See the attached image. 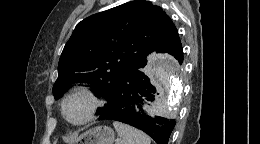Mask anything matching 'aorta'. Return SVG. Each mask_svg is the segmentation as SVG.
Instances as JSON below:
<instances>
[{"mask_svg": "<svg viewBox=\"0 0 260 144\" xmlns=\"http://www.w3.org/2000/svg\"><path fill=\"white\" fill-rule=\"evenodd\" d=\"M151 74L159 86L168 89V98L163 107V112L168 113L175 106L180 91V85L176 77L177 65L168 55H158L152 60Z\"/></svg>", "mask_w": 260, "mask_h": 144, "instance_id": "762f6f07", "label": "aorta"}]
</instances>
